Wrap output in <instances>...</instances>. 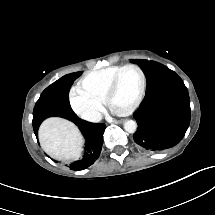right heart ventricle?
Returning <instances> with one entry per match:
<instances>
[{
    "label": "right heart ventricle",
    "mask_w": 215,
    "mask_h": 215,
    "mask_svg": "<svg viewBox=\"0 0 215 215\" xmlns=\"http://www.w3.org/2000/svg\"><path fill=\"white\" fill-rule=\"evenodd\" d=\"M117 67L118 66L108 63L96 71L88 74L82 79L80 84L82 93L94 98H101L105 96L110 84L117 74Z\"/></svg>",
    "instance_id": "1"
}]
</instances>
